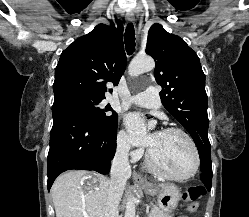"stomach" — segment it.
Returning <instances> with one entry per match:
<instances>
[{
    "mask_svg": "<svg viewBox=\"0 0 249 217\" xmlns=\"http://www.w3.org/2000/svg\"><path fill=\"white\" fill-rule=\"evenodd\" d=\"M142 189L147 194L157 195L158 206L165 213L172 212L181 198V193L174 184H167L165 187L148 184L143 186Z\"/></svg>",
    "mask_w": 249,
    "mask_h": 217,
    "instance_id": "obj_1",
    "label": "stomach"
}]
</instances>
